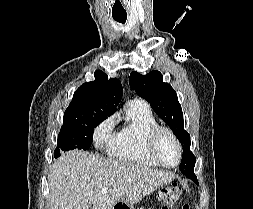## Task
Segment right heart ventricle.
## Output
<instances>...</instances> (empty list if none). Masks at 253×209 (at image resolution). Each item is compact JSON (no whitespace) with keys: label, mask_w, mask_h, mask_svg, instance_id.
Wrapping results in <instances>:
<instances>
[{"label":"right heart ventricle","mask_w":253,"mask_h":209,"mask_svg":"<svg viewBox=\"0 0 253 209\" xmlns=\"http://www.w3.org/2000/svg\"><path fill=\"white\" fill-rule=\"evenodd\" d=\"M156 126L158 122L147 103L140 99L129 101L125 121L109 147L111 155L122 161L156 167L158 164L146 155L144 148L149 131Z\"/></svg>","instance_id":"e07e8e85"}]
</instances>
